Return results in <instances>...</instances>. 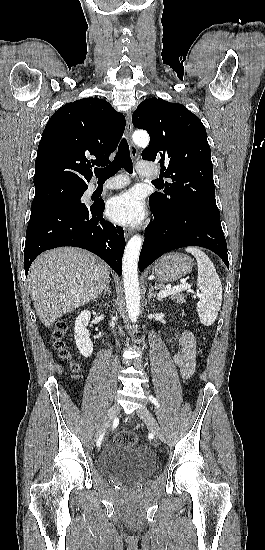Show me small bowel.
Listing matches in <instances>:
<instances>
[{
  "instance_id": "obj_1",
  "label": "small bowel",
  "mask_w": 265,
  "mask_h": 550,
  "mask_svg": "<svg viewBox=\"0 0 265 550\" xmlns=\"http://www.w3.org/2000/svg\"><path fill=\"white\" fill-rule=\"evenodd\" d=\"M180 350L174 355V363L180 369L183 378H189L195 368L197 355L196 341L194 336L184 331L179 337Z\"/></svg>"
}]
</instances>
